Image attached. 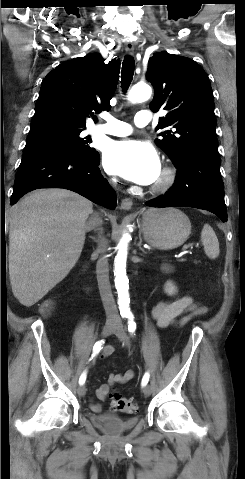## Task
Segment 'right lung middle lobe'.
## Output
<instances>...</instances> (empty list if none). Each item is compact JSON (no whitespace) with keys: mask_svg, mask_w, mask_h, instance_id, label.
<instances>
[{"mask_svg":"<svg viewBox=\"0 0 245 479\" xmlns=\"http://www.w3.org/2000/svg\"><path fill=\"white\" fill-rule=\"evenodd\" d=\"M84 129H74L64 125H47L31 128L26 140L23 156L52 148H64L83 153L92 158L99 153L88 145L89 138H82Z\"/></svg>","mask_w":245,"mask_h":479,"instance_id":"1","label":"right lung middle lobe"}]
</instances>
